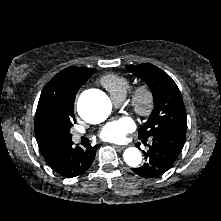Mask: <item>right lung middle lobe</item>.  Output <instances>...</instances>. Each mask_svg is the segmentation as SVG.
<instances>
[{
	"label": "right lung middle lobe",
	"mask_w": 221,
	"mask_h": 221,
	"mask_svg": "<svg viewBox=\"0 0 221 221\" xmlns=\"http://www.w3.org/2000/svg\"><path fill=\"white\" fill-rule=\"evenodd\" d=\"M73 122L75 123V118L73 117V115L70 116L69 114L50 119L51 126L63 139L66 140H71L72 135L70 134V128Z\"/></svg>",
	"instance_id": "1"
}]
</instances>
